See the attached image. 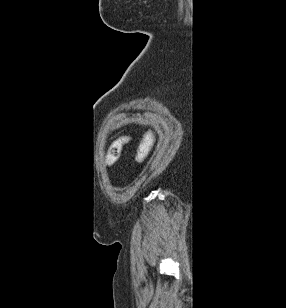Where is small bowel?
Here are the masks:
<instances>
[{"mask_svg": "<svg viewBox=\"0 0 286 308\" xmlns=\"http://www.w3.org/2000/svg\"><path fill=\"white\" fill-rule=\"evenodd\" d=\"M146 139H150V140H151V136H148ZM146 139H145V140H146Z\"/></svg>", "mask_w": 286, "mask_h": 308, "instance_id": "c3829d8e", "label": "small bowel"}]
</instances>
